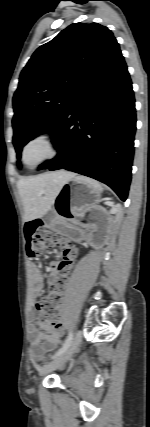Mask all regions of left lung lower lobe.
Instances as JSON below:
<instances>
[{
    "mask_svg": "<svg viewBox=\"0 0 150 427\" xmlns=\"http://www.w3.org/2000/svg\"><path fill=\"white\" fill-rule=\"evenodd\" d=\"M136 131L135 100L118 49L88 80L66 119L53 132L58 155L41 165L66 169L128 196Z\"/></svg>",
    "mask_w": 150,
    "mask_h": 427,
    "instance_id": "0a47b994",
    "label": "left lung lower lobe"
}]
</instances>
